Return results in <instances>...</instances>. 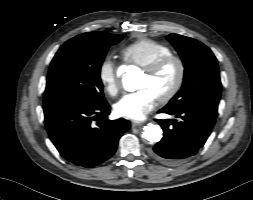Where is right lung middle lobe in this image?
Listing matches in <instances>:
<instances>
[{
    "label": "right lung middle lobe",
    "mask_w": 253,
    "mask_h": 200,
    "mask_svg": "<svg viewBox=\"0 0 253 200\" xmlns=\"http://www.w3.org/2000/svg\"><path fill=\"white\" fill-rule=\"evenodd\" d=\"M123 37L111 35L96 40L78 35L63 44L49 68L43 106L54 103L95 106L105 102L100 68L110 45Z\"/></svg>",
    "instance_id": "obj_1"
}]
</instances>
